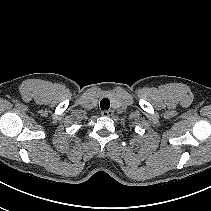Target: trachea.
<instances>
[{"label":"trachea","mask_w":211,"mask_h":211,"mask_svg":"<svg viewBox=\"0 0 211 211\" xmlns=\"http://www.w3.org/2000/svg\"><path fill=\"white\" fill-rule=\"evenodd\" d=\"M100 107L102 110H108L110 107V101L108 98H103L100 102Z\"/></svg>","instance_id":"1"}]
</instances>
